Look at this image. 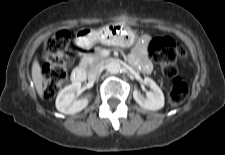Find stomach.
<instances>
[{
    "mask_svg": "<svg viewBox=\"0 0 225 155\" xmlns=\"http://www.w3.org/2000/svg\"><path fill=\"white\" fill-rule=\"evenodd\" d=\"M77 43L85 48L100 42L105 45L130 47L136 40L135 33L122 23H112L98 31L81 29L77 33Z\"/></svg>",
    "mask_w": 225,
    "mask_h": 155,
    "instance_id": "stomach-1",
    "label": "stomach"
}]
</instances>
